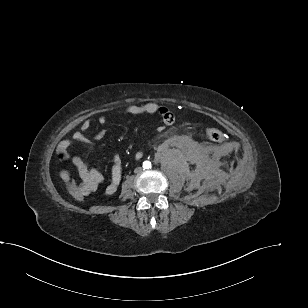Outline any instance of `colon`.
<instances>
[{"mask_svg":"<svg viewBox=\"0 0 308 308\" xmlns=\"http://www.w3.org/2000/svg\"><path fill=\"white\" fill-rule=\"evenodd\" d=\"M206 135L209 139L215 141V142H223L225 140V134L215 128V127H207L206 128ZM59 156L61 158L64 157L63 153H60ZM66 187L69 191V193L76 199V200H83V198L89 194V192L85 189H83L80 185H78L72 178H68L66 180Z\"/></svg>","mask_w":308,"mask_h":308,"instance_id":"colon-1","label":"colon"}]
</instances>
